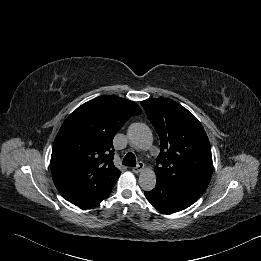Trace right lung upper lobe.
<instances>
[{
    "label": "right lung upper lobe",
    "instance_id": "cb5924a9",
    "mask_svg": "<svg viewBox=\"0 0 261 261\" xmlns=\"http://www.w3.org/2000/svg\"><path fill=\"white\" fill-rule=\"evenodd\" d=\"M142 113L133 101L104 95L72 112L52 149L51 172L60 194L80 205L113 188L120 171L113 164V138L132 116Z\"/></svg>",
    "mask_w": 261,
    "mask_h": 261
}]
</instances>
